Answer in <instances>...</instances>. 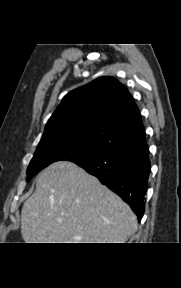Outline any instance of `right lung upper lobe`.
Segmentation results:
<instances>
[{"label": "right lung upper lobe", "mask_w": 181, "mask_h": 288, "mask_svg": "<svg viewBox=\"0 0 181 288\" xmlns=\"http://www.w3.org/2000/svg\"><path fill=\"white\" fill-rule=\"evenodd\" d=\"M68 137L86 138L107 150L146 142L133 97L113 77H100L63 98L41 140Z\"/></svg>", "instance_id": "1"}]
</instances>
